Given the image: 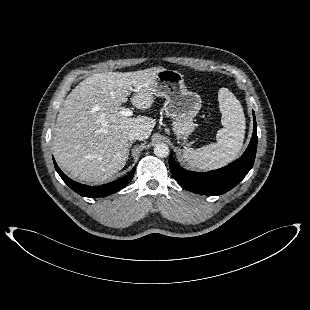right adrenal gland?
<instances>
[{"instance_id":"obj_1","label":"right adrenal gland","mask_w":310,"mask_h":310,"mask_svg":"<svg viewBox=\"0 0 310 310\" xmlns=\"http://www.w3.org/2000/svg\"><path fill=\"white\" fill-rule=\"evenodd\" d=\"M133 143H134L133 141H131V142L129 143V147H128V151H127V156H129L130 148H131V146H132Z\"/></svg>"}]
</instances>
